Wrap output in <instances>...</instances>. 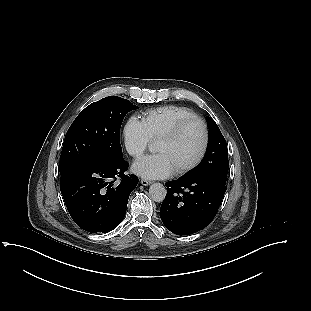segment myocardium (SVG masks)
Instances as JSON below:
<instances>
[{
  "label": "myocardium",
  "mask_w": 311,
  "mask_h": 311,
  "mask_svg": "<svg viewBox=\"0 0 311 311\" xmlns=\"http://www.w3.org/2000/svg\"><path fill=\"white\" fill-rule=\"evenodd\" d=\"M193 124H197L201 128V131H202L201 146H200V149L197 155L190 162L174 170L176 175L186 173L189 170L193 169L204 158L205 153L207 151V147H208V141H209V134H208V128H207L206 123L201 118H198V117L187 118L175 124L171 129L164 132L157 139V141H173L177 139L186 128H188L189 126Z\"/></svg>",
  "instance_id": "1"
}]
</instances>
